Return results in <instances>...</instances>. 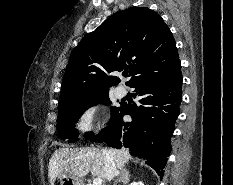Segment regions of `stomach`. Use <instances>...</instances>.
<instances>
[{"mask_svg": "<svg viewBox=\"0 0 233 185\" xmlns=\"http://www.w3.org/2000/svg\"><path fill=\"white\" fill-rule=\"evenodd\" d=\"M60 185H83L82 180L70 174H62L58 177Z\"/></svg>", "mask_w": 233, "mask_h": 185, "instance_id": "stomach-1", "label": "stomach"}]
</instances>
